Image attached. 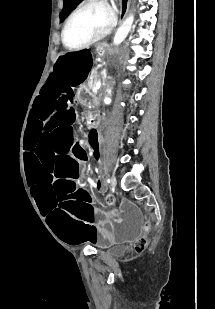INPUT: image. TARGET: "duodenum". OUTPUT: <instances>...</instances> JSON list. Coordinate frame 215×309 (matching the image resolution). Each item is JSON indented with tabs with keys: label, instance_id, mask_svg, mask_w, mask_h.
<instances>
[{
	"label": "duodenum",
	"instance_id": "1",
	"mask_svg": "<svg viewBox=\"0 0 215 309\" xmlns=\"http://www.w3.org/2000/svg\"><path fill=\"white\" fill-rule=\"evenodd\" d=\"M100 121V116L98 114H93L90 116L88 124L97 128L96 125L99 123Z\"/></svg>",
	"mask_w": 215,
	"mask_h": 309
}]
</instances>
